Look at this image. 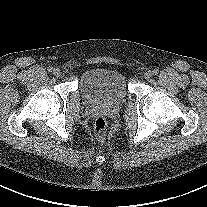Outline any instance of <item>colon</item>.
<instances>
[{"label": "colon", "mask_w": 207, "mask_h": 207, "mask_svg": "<svg viewBox=\"0 0 207 207\" xmlns=\"http://www.w3.org/2000/svg\"><path fill=\"white\" fill-rule=\"evenodd\" d=\"M94 132L99 139H104L107 132V122L103 117H99L94 122Z\"/></svg>", "instance_id": "5ec220e1"}]
</instances>
